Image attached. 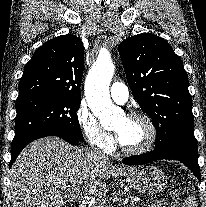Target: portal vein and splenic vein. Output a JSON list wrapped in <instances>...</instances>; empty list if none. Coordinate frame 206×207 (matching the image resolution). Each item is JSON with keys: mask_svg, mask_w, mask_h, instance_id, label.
Listing matches in <instances>:
<instances>
[{"mask_svg": "<svg viewBox=\"0 0 206 207\" xmlns=\"http://www.w3.org/2000/svg\"><path fill=\"white\" fill-rule=\"evenodd\" d=\"M65 197H71L72 199H75V200H80L82 201L83 200V194L80 192L79 189H75L73 191H66L65 192ZM123 204L128 202V199H123Z\"/></svg>", "mask_w": 206, "mask_h": 207, "instance_id": "portal-vein-and-splenic-vein-1", "label": "portal vein and splenic vein"}]
</instances>
